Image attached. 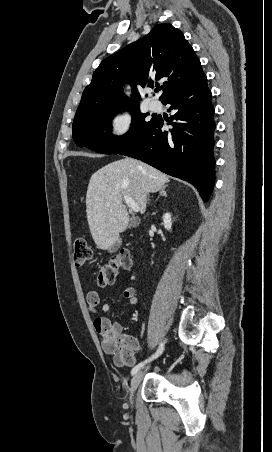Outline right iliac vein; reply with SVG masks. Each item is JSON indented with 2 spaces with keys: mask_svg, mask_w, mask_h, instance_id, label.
Returning a JSON list of instances; mask_svg holds the SVG:
<instances>
[{
  "mask_svg": "<svg viewBox=\"0 0 272 452\" xmlns=\"http://www.w3.org/2000/svg\"><path fill=\"white\" fill-rule=\"evenodd\" d=\"M142 378H143V371H139L133 376V378L131 380L130 390H129L130 391V397L129 398H130L131 404L133 403L134 393H135L138 385L140 384Z\"/></svg>",
  "mask_w": 272,
  "mask_h": 452,
  "instance_id": "63e3f726",
  "label": "right iliac vein"
}]
</instances>
